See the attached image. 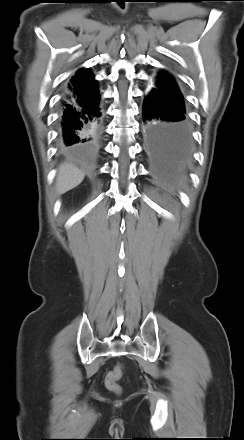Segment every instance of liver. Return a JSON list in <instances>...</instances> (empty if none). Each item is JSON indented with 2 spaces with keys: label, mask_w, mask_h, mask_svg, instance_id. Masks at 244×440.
I'll list each match as a JSON object with an SVG mask.
<instances>
[{
  "label": "liver",
  "mask_w": 244,
  "mask_h": 440,
  "mask_svg": "<svg viewBox=\"0 0 244 440\" xmlns=\"http://www.w3.org/2000/svg\"><path fill=\"white\" fill-rule=\"evenodd\" d=\"M85 173L72 164H63L59 167L56 178V191L64 194L78 186L84 179Z\"/></svg>",
  "instance_id": "liver-1"
}]
</instances>
